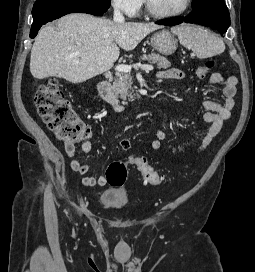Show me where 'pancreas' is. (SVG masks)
Masks as SVG:
<instances>
[{
	"label": "pancreas",
	"mask_w": 255,
	"mask_h": 272,
	"mask_svg": "<svg viewBox=\"0 0 255 272\" xmlns=\"http://www.w3.org/2000/svg\"><path fill=\"white\" fill-rule=\"evenodd\" d=\"M141 59L149 63H156L159 69H167L171 66V63L165 57L155 53L149 55L144 54ZM132 84V77L129 73L119 72L114 79L113 89L122 100L132 101L139 96L137 93H134Z\"/></svg>",
	"instance_id": "1"
}]
</instances>
